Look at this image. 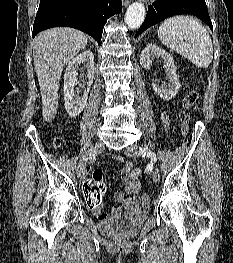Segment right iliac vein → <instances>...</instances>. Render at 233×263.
<instances>
[{
  "label": "right iliac vein",
  "instance_id": "obj_1",
  "mask_svg": "<svg viewBox=\"0 0 233 263\" xmlns=\"http://www.w3.org/2000/svg\"><path fill=\"white\" fill-rule=\"evenodd\" d=\"M105 149L103 142H96L88 152L81 158L77 166V174L80 179L86 176V163L91 155L101 153Z\"/></svg>",
  "mask_w": 233,
  "mask_h": 263
}]
</instances>
